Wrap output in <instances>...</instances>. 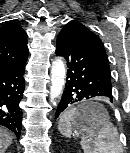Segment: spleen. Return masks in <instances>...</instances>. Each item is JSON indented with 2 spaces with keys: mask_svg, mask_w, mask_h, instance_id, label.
Masks as SVG:
<instances>
[{
  "mask_svg": "<svg viewBox=\"0 0 130 153\" xmlns=\"http://www.w3.org/2000/svg\"><path fill=\"white\" fill-rule=\"evenodd\" d=\"M77 111L76 107H70L60 117L58 129L65 137L72 135L70 121ZM84 131L88 134L81 139L84 153H122L117 128L110 121L104 122L96 131L91 128H85ZM92 137L94 140L90 142Z\"/></svg>",
  "mask_w": 130,
  "mask_h": 153,
  "instance_id": "3e777b00",
  "label": "spleen"
}]
</instances>
